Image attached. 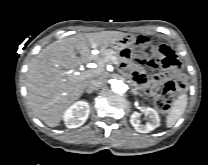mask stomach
<instances>
[{
    "instance_id": "stomach-1",
    "label": "stomach",
    "mask_w": 208,
    "mask_h": 165,
    "mask_svg": "<svg viewBox=\"0 0 208 165\" xmlns=\"http://www.w3.org/2000/svg\"><path fill=\"white\" fill-rule=\"evenodd\" d=\"M135 42H136L135 37L124 36L118 41L112 43L110 46L112 49L116 50L117 52H121V50L124 48L131 49L134 46Z\"/></svg>"
}]
</instances>
